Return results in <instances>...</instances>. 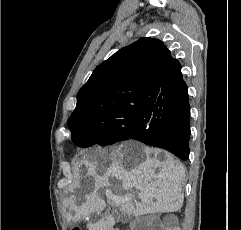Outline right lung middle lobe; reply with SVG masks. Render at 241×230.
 <instances>
[{
	"instance_id": "dd1d6c3e",
	"label": "right lung middle lobe",
	"mask_w": 241,
	"mask_h": 230,
	"mask_svg": "<svg viewBox=\"0 0 241 230\" xmlns=\"http://www.w3.org/2000/svg\"><path fill=\"white\" fill-rule=\"evenodd\" d=\"M147 104L113 109L105 120L79 122L71 129L72 141L77 146L89 147L96 143L107 146L127 140L130 134L143 132L148 127L150 119L145 118Z\"/></svg>"
}]
</instances>
